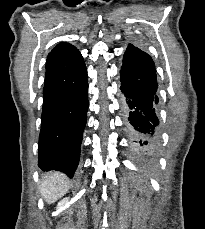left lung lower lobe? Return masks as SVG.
Returning a JSON list of instances; mask_svg holds the SVG:
<instances>
[{
	"instance_id": "obj_1",
	"label": "left lung lower lobe",
	"mask_w": 205,
	"mask_h": 229,
	"mask_svg": "<svg viewBox=\"0 0 205 229\" xmlns=\"http://www.w3.org/2000/svg\"><path fill=\"white\" fill-rule=\"evenodd\" d=\"M121 106L132 149L144 157L157 154L160 137L157 117V77L152 58L129 44L120 70Z\"/></svg>"
}]
</instances>
